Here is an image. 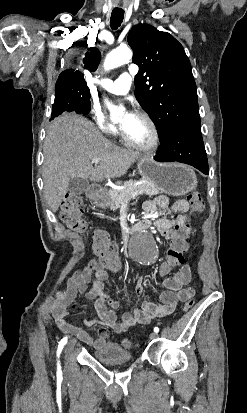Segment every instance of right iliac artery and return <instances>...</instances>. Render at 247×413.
Here are the masks:
<instances>
[{"instance_id":"right-iliac-artery-1","label":"right iliac artery","mask_w":247,"mask_h":413,"mask_svg":"<svg viewBox=\"0 0 247 413\" xmlns=\"http://www.w3.org/2000/svg\"><path fill=\"white\" fill-rule=\"evenodd\" d=\"M67 340H68V337L66 336V337H64L63 339H61V341L59 342L58 349H57V356H58V358H59V356H60V354H61V351H62L63 347H64L65 344L67 343ZM57 365H58V366H57V376H58V377H61V376H62V372H61V366H60L59 361H58V364H57Z\"/></svg>"}]
</instances>
